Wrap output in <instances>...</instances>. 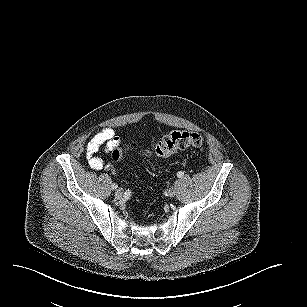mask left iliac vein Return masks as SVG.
I'll return each instance as SVG.
<instances>
[{
    "label": "left iliac vein",
    "mask_w": 307,
    "mask_h": 307,
    "mask_svg": "<svg viewBox=\"0 0 307 307\" xmlns=\"http://www.w3.org/2000/svg\"><path fill=\"white\" fill-rule=\"evenodd\" d=\"M167 195L171 198L175 197L176 196V189L175 187H171L168 192H167Z\"/></svg>",
    "instance_id": "obj_1"
}]
</instances>
